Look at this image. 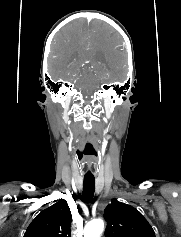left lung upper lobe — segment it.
<instances>
[{
    "mask_svg": "<svg viewBox=\"0 0 181 237\" xmlns=\"http://www.w3.org/2000/svg\"><path fill=\"white\" fill-rule=\"evenodd\" d=\"M104 218L105 237H155L152 226L136 208L116 199L105 208Z\"/></svg>",
    "mask_w": 181,
    "mask_h": 237,
    "instance_id": "1",
    "label": "left lung upper lobe"
}]
</instances>
